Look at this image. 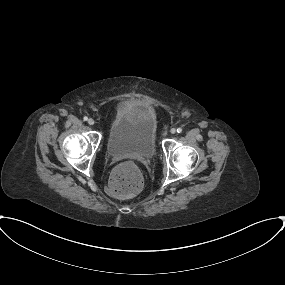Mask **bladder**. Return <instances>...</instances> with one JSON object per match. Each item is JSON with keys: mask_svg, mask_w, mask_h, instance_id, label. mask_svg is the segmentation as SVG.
I'll use <instances>...</instances> for the list:
<instances>
[{"mask_svg": "<svg viewBox=\"0 0 285 285\" xmlns=\"http://www.w3.org/2000/svg\"><path fill=\"white\" fill-rule=\"evenodd\" d=\"M106 149L116 157L152 158L155 155V124L144 105L127 104L118 110L108 130Z\"/></svg>", "mask_w": 285, "mask_h": 285, "instance_id": "obj_1", "label": "bladder"}]
</instances>
